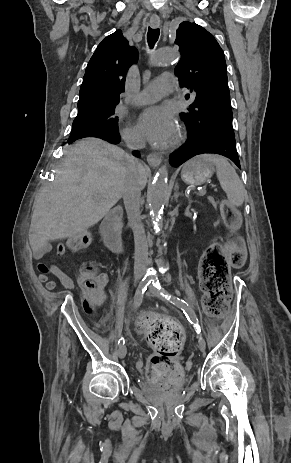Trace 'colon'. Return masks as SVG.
<instances>
[{
	"label": "colon",
	"mask_w": 291,
	"mask_h": 463,
	"mask_svg": "<svg viewBox=\"0 0 291 463\" xmlns=\"http://www.w3.org/2000/svg\"><path fill=\"white\" fill-rule=\"evenodd\" d=\"M221 213L224 222L231 228L240 223L238 210L229 202L223 201ZM90 241V234L85 230L78 231L67 242L72 252L84 250ZM229 260L240 264L243 260L242 243L236 236L229 237L226 244H212L202 256L199 274L201 288L204 293L203 306L213 317H222L227 309L231 295L229 280ZM42 269L43 267L40 266ZM97 264L89 261L84 265L80 286L84 297L83 305L88 313H95L103 302L100 275H97ZM140 328L148 342L156 350V355L149 365V375L154 381L172 380L179 376L180 367L175 359L184 342V332L179 324L163 318L142 317Z\"/></svg>",
	"instance_id": "1"
}]
</instances>
